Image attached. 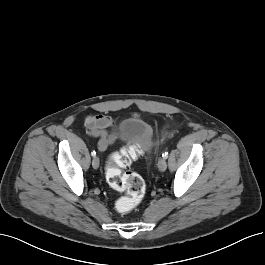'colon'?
I'll list each match as a JSON object with an SVG mask.
<instances>
[{"label":"colon","mask_w":265,"mask_h":265,"mask_svg":"<svg viewBox=\"0 0 265 265\" xmlns=\"http://www.w3.org/2000/svg\"><path fill=\"white\" fill-rule=\"evenodd\" d=\"M141 154L138 145H130L114 153L106 166V178L109 185L118 191H125L126 196L117 202V210L125 213L136 207L145 194V184L142 178L133 172H122L132 160Z\"/></svg>","instance_id":"colon-1"}]
</instances>
